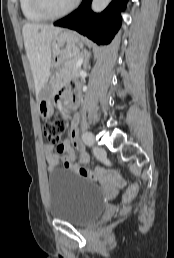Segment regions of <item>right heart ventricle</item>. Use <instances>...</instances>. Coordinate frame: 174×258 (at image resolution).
Wrapping results in <instances>:
<instances>
[{
	"label": "right heart ventricle",
	"instance_id": "obj_1",
	"mask_svg": "<svg viewBox=\"0 0 174 258\" xmlns=\"http://www.w3.org/2000/svg\"><path fill=\"white\" fill-rule=\"evenodd\" d=\"M21 11L29 22H43L47 18L40 14L34 7L33 0H19Z\"/></svg>",
	"mask_w": 174,
	"mask_h": 258
}]
</instances>
